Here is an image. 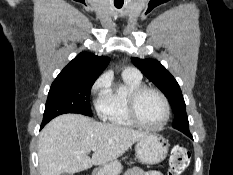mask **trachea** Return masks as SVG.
I'll return each instance as SVG.
<instances>
[{
	"label": "trachea",
	"mask_w": 233,
	"mask_h": 175,
	"mask_svg": "<svg viewBox=\"0 0 233 175\" xmlns=\"http://www.w3.org/2000/svg\"><path fill=\"white\" fill-rule=\"evenodd\" d=\"M115 7H116V8H121V7H122V5H115Z\"/></svg>",
	"instance_id": "obj_1"
}]
</instances>
